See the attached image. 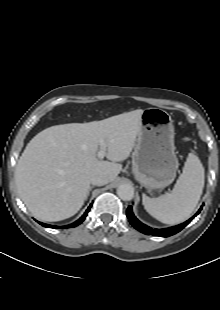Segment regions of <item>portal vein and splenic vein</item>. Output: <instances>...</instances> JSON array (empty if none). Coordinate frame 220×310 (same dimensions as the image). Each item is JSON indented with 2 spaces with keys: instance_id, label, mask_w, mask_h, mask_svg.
Listing matches in <instances>:
<instances>
[{
  "instance_id": "1",
  "label": "portal vein and splenic vein",
  "mask_w": 220,
  "mask_h": 310,
  "mask_svg": "<svg viewBox=\"0 0 220 310\" xmlns=\"http://www.w3.org/2000/svg\"><path fill=\"white\" fill-rule=\"evenodd\" d=\"M106 143L104 140H100V150L97 153V157L99 159H103L104 156L106 155Z\"/></svg>"
}]
</instances>
